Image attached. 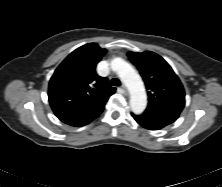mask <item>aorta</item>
<instances>
[{"mask_svg": "<svg viewBox=\"0 0 222 187\" xmlns=\"http://www.w3.org/2000/svg\"><path fill=\"white\" fill-rule=\"evenodd\" d=\"M111 68L118 74L130 92V107L135 114H141L147 106V96L139 74L121 58L111 61Z\"/></svg>", "mask_w": 222, "mask_h": 187, "instance_id": "762f6f07", "label": "aorta"}]
</instances>
